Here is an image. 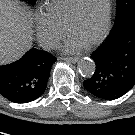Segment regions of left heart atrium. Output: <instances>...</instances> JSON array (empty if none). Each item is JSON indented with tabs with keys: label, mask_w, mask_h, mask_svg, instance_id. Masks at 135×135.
I'll use <instances>...</instances> for the list:
<instances>
[{
	"label": "left heart atrium",
	"mask_w": 135,
	"mask_h": 135,
	"mask_svg": "<svg viewBox=\"0 0 135 135\" xmlns=\"http://www.w3.org/2000/svg\"><path fill=\"white\" fill-rule=\"evenodd\" d=\"M84 46L83 43L76 40L75 38L68 36L66 43H65V51L67 52H76L80 50Z\"/></svg>",
	"instance_id": "39dd6f15"
}]
</instances>
